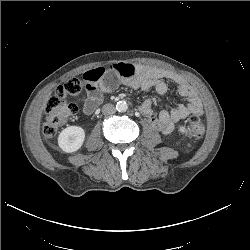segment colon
Listing matches in <instances>:
<instances>
[{
  "mask_svg": "<svg viewBox=\"0 0 250 250\" xmlns=\"http://www.w3.org/2000/svg\"><path fill=\"white\" fill-rule=\"evenodd\" d=\"M84 83L80 79H71L57 87L45 106L44 135L53 136L79 109L78 98ZM188 137L200 139L205 134V125L196 115L188 118L186 123Z\"/></svg>",
  "mask_w": 250,
  "mask_h": 250,
  "instance_id": "1",
  "label": "colon"
}]
</instances>
